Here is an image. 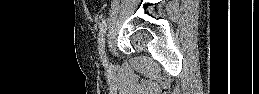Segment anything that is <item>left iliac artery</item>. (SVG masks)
Wrapping results in <instances>:
<instances>
[{
    "label": "left iliac artery",
    "mask_w": 259,
    "mask_h": 94,
    "mask_svg": "<svg viewBox=\"0 0 259 94\" xmlns=\"http://www.w3.org/2000/svg\"><path fill=\"white\" fill-rule=\"evenodd\" d=\"M106 28H107V23H106V18H103L101 20L100 26H99V37H98V47H99V53L101 56V59L103 63H106V56H105V34H106Z\"/></svg>",
    "instance_id": "1"
}]
</instances>
